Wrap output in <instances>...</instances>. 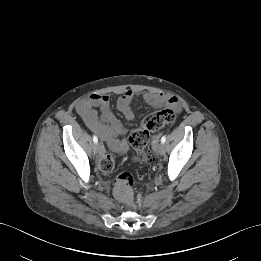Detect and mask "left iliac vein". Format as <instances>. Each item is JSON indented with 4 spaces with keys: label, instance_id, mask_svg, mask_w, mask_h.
I'll return each mask as SVG.
<instances>
[{
    "label": "left iliac vein",
    "instance_id": "left-iliac-vein-1",
    "mask_svg": "<svg viewBox=\"0 0 261 261\" xmlns=\"http://www.w3.org/2000/svg\"><path fill=\"white\" fill-rule=\"evenodd\" d=\"M155 150L160 155L164 154V152H165V145H164V143H158L155 146Z\"/></svg>",
    "mask_w": 261,
    "mask_h": 261
}]
</instances>
